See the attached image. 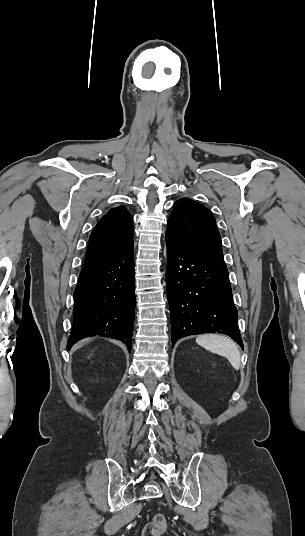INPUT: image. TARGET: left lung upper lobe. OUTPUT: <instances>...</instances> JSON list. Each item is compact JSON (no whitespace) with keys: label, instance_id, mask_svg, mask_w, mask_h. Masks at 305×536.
Instances as JSON below:
<instances>
[{"label":"left lung upper lobe","instance_id":"obj_1","mask_svg":"<svg viewBox=\"0 0 305 536\" xmlns=\"http://www.w3.org/2000/svg\"><path fill=\"white\" fill-rule=\"evenodd\" d=\"M166 236L188 249L223 256L215 218L205 206L189 198L174 203Z\"/></svg>","mask_w":305,"mask_h":536}]
</instances>
